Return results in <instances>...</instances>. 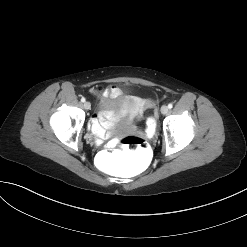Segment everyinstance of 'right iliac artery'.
<instances>
[{
    "instance_id": "obj_1",
    "label": "right iliac artery",
    "mask_w": 247,
    "mask_h": 247,
    "mask_svg": "<svg viewBox=\"0 0 247 247\" xmlns=\"http://www.w3.org/2000/svg\"><path fill=\"white\" fill-rule=\"evenodd\" d=\"M86 99L84 97L81 98V102H85Z\"/></svg>"
}]
</instances>
